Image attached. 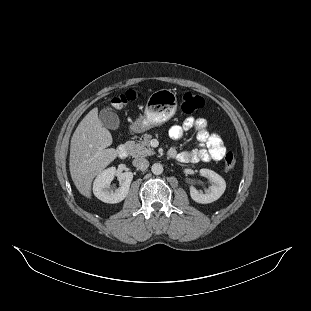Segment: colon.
Returning <instances> with one entry per match:
<instances>
[{
	"instance_id": "1",
	"label": "colon",
	"mask_w": 311,
	"mask_h": 311,
	"mask_svg": "<svg viewBox=\"0 0 311 311\" xmlns=\"http://www.w3.org/2000/svg\"><path fill=\"white\" fill-rule=\"evenodd\" d=\"M134 98L133 94L127 93L122 95L112 101V106L114 108H121L125 103ZM204 106V99L193 93L186 92L182 97L181 109L185 114H192ZM236 158L233 153L228 152L224 157L223 167L225 171H230L235 167Z\"/></svg>"
}]
</instances>
